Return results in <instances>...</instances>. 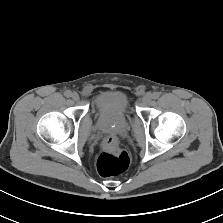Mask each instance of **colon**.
<instances>
[{
  "label": "colon",
  "mask_w": 223,
  "mask_h": 223,
  "mask_svg": "<svg viewBox=\"0 0 223 223\" xmlns=\"http://www.w3.org/2000/svg\"><path fill=\"white\" fill-rule=\"evenodd\" d=\"M129 163V155L119 147L117 138L108 137L97 160L98 173L106 178L117 176L127 170Z\"/></svg>",
  "instance_id": "obj_1"
}]
</instances>
